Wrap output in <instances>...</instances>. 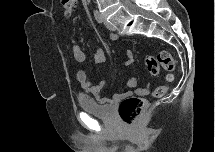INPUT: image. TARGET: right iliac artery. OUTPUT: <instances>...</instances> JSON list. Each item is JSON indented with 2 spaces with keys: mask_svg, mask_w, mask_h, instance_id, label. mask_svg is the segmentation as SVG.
Listing matches in <instances>:
<instances>
[{
  "mask_svg": "<svg viewBox=\"0 0 215 152\" xmlns=\"http://www.w3.org/2000/svg\"><path fill=\"white\" fill-rule=\"evenodd\" d=\"M94 17H95V19H96V21L98 23H102L103 22L100 13L97 10L94 11Z\"/></svg>",
  "mask_w": 215,
  "mask_h": 152,
  "instance_id": "1",
  "label": "right iliac artery"
}]
</instances>
